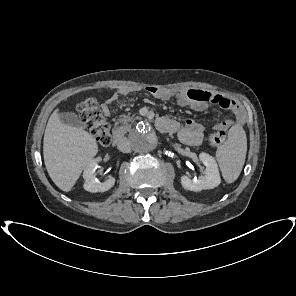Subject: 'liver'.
I'll list each match as a JSON object with an SVG mask.
<instances>
[{"label": "liver", "instance_id": "obj_1", "mask_svg": "<svg viewBox=\"0 0 296 296\" xmlns=\"http://www.w3.org/2000/svg\"><path fill=\"white\" fill-rule=\"evenodd\" d=\"M58 111L55 109L48 120L43 156L52 181L61 190L69 192L97 154L98 145L87 131L62 123Z\"/></svg>", "mask_w": 296, "mask_h": 296}]
</instances>
